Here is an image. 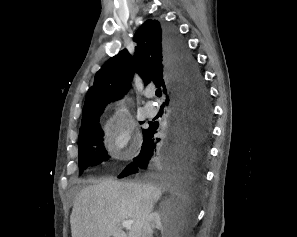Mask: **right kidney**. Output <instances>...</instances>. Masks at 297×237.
<instances>
[{
	"mask_svg": "<svg viewBox=\"0 0 297 237\" xmlns=\"http://www.w3.org/2000/svg\"><path fill=\"white\" fill-rule=\"evenodd\" d=\"M157 228L161 230L163 237H170V233L166 231V226L164 220L162 221V216L159 212L155 211L149 214L147 217L144 227L142 237H152L153 230Z\"/></svg>",
	"mask_w": 297,
	"mask_h": 237,
	"instance_id": "1",
	"label": "right kidney"
}]
</instances>
